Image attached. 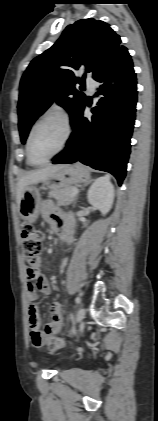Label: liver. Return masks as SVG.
Here are the masks:
<instances>
[{"instance_id": "liver-1", "label": "liver", "mask_w": 158, "mask_h": 421, "mask_svg": "<svg viewBox=\"0 0 158 421\" xmlns=\"http://www.w3.org/2000/svg\"><path fill=\"white\" fill-rule=\"evenodd\" d=\"M64 166L65 165H61V164L48 165L44 168L28 172L24 176H22L17 184V195H16L17 204L19 205L22 192L27 186L46 180L53 173H55L57 170L61 169Z\"/></svg>"}]
</instances>
